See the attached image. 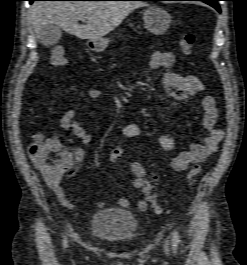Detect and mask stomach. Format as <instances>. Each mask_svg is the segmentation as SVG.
Listing matches in <instances>:
<instances>
[{"label": "stomach", "instance_id": "0dacf381", "mask_svg": "<svg viewBox=\"0 0 247 265\" xmlns=\"http://www.w3.org/2000/svg\"><path fill=\"white\" fill-rule=\"evenodd\" d=\"M143 20L148 31L161 35L167 31L172 20L170 14L159 6H149L143 13ZM109 45V39L90 40L89 47L95 52L104 51Z\"/></svg>", "mask_w": 247, "mask_h": 265}]
</instances>
